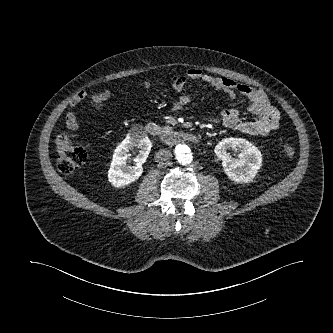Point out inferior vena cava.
<instances>
[{
    "label": "inferior vena cava",
    "mask_w": 333,
    "mask_h": 333,
    "mask_svg": "<svg viewBox=\"0 0 333 333\" xmlns=\"http://www.w3.org/2000/svg\"><path fill=\"white\" fill-rule=\"evenodd\" d=\"M171 157L172 154L170 153L169 150L166 149L159 150L155 155L156 161L158 163H167L170 161Z\"/></svg>",
    "instance_id": "obj_1"
}]
</instances>
